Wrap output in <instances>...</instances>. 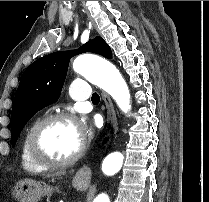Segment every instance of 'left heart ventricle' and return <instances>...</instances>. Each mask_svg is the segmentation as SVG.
<instances>
[{"mask_svg": "<svg viewBox=\"0 0 209 202\" xmlns=\"http://www.w3.org/2000/svg\"><path fill=\"white\" fill-rule=\"evenodd\" d=\"M82 137L77 125L56 121L47 125L37 138V149L45 158L61 161L72 156L79 148Z\"/></svg>", "mask_w": 209, "mask_h": 202, "instance_id": "1", "label": "left heart ventricle"}]
</instances>
